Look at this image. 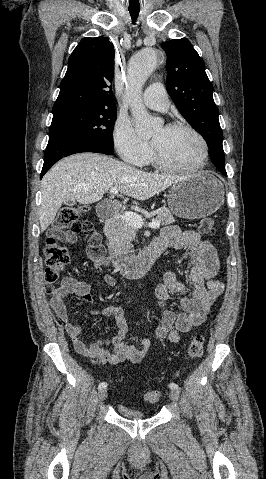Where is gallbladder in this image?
Here are the masks:
<instances>
[{
  "label": "gallbladder",
  "mask_w": 266,
  "mask_h": 479,
  "mask_svg": "<svg viewBox=\"0 0 266 479\" xmlns=\"http://www.w3.org/2000/svg\"><path fill=\"white\" fill-rule=\"evenodd\" d=\"M65 205H69V206H73L75 205V201L74 200H67L64 202Z\"/></svg>",
  "instance_id": "bac80fb5"
}]
</instances>
